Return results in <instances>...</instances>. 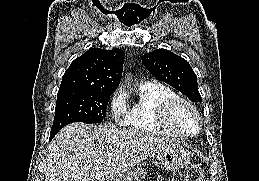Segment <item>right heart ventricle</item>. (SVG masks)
Here are the masks:
<instances>
[{
    "label": "right heart ventricle",
    "instance_id": "obj_1",
    "mask_svg": "<svg viewBox=\"0 0 259 181\" xmlns=\"http://www.w3.org/2000/svg\"><path fill=\"white\" fill-rule=\"evenodd\" d=\"M175 97L174 90L165 84L156 81L142 83L138 88V100L126 110L125 125L143 133L180 137L161 120L162 107Z\"/></svg>",
    "mask_w": 259,
    "mask_h": 181
}]
</instances>
